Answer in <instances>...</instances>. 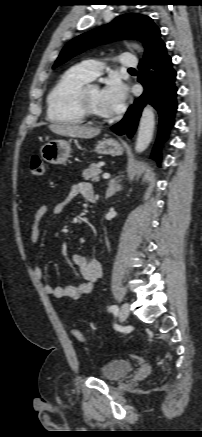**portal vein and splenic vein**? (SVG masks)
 Masks as SVG:
<instances>
[{"mask_svg": "<svg viewBox=\"0 0 202 437\" xmlns=\"http://www.w3.org/2000/svg\"><path fill=\"white\" fill-rule=\"evenodd\" d=\"M102 177H103L104 179H108V178H110V174H109V173H104V174L102 175Z\"/></svg>", "mask_w": 202, "mask_h": 437, "instance_id": "portal-vein-and-splenic-vein-1", "label": "portal vein and splenic vein"}]
</instances>
